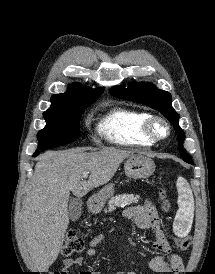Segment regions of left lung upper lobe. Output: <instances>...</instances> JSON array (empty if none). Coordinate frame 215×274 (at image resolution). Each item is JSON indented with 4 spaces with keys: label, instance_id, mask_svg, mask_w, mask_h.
I'll return each mask as SVG.
<instances>
[{
    "label": "left lung upper lobe",
    "instance_id": "1",
    "mask_svg": "<svg viewBox=\"0 0 215 274\" xmlns=\"http://www.w3.org/2000/svg\"><path fill=\"white\" fill-rule=\"evenodd\" d=\"M113 96L127 99L134 102L145 104L159 112H161L173 125L178 135L179 149L183 153L182 158L187 163H192L190 157L184 153L182 144L184 133L178 126V114L172 108L171 94L167 91L156 88L151 83H132L127 88L125 86H114L110 89Z\"/></svg>",
    "mask_w": 215,
    "mask_h": 274
}]
</instances>
